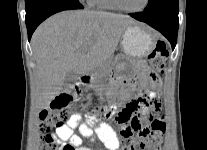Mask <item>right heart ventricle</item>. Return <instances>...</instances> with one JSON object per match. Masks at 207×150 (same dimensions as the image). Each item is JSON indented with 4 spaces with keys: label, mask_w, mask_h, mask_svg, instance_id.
<instances>
[{
    "label": "right heart ventricle",
    "mask_w": 207,
    "mask_h": 150,
    "mask_svg": "<svg viewBox=\"0 0 207 150\" xmlns=\"http://www.w3.org/2000/svg\"><path fill=\"white\" fill-rule=\"evenodd\" d=\"M89 4L102 10H116L117 8L111 0H90Z\"/></svg>",
    "instance_id": "e07e8e85"
}]
</instances>
